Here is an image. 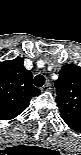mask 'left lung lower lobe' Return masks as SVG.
I'll return each instance as SVG.
<instances>
[{"instance_id":"left-lung-lower-lobe-1","label":"left lung lower lobe","mask_w":81,"mask_h":155,"mask_svg":"<svg viewBox=\"0 0 81 155\" xmlns=\"http://www.w3.org/2000/svg\"><path fill=\"white\" fill-rule=\"evenodd\" d=\"M64 122L72 129L79 131L81 130V122L75 121V120H67L63 119Z\"/></svg>"}]
</instances>
